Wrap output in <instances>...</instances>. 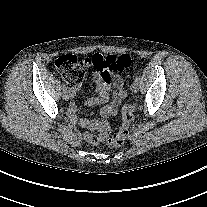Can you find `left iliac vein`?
<instances>
[{
  "instance_id": "obj_1",
  "label": "left iliac vein",
  "mask_w": 207,
  "mask_h": 207,
  "mask_svg": "<svg viewBox=\"0 0 207 207\" xmlns=\"http://www.w3.org/2000/svg\"><path fill=\"white\" fill-rule=\"evenodd\" d=\"M138 90H139V84H138V82H133L132 85H131V91L133 93H137Z\"/></svg>"
}]
</instances>
